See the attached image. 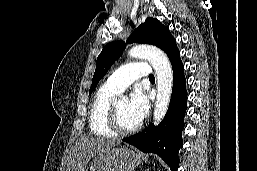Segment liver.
<instances>
[{
    "instance_id": "obj_1",
    "label": "liver",
    "mask_w": 257,
    "mask_h": 171,
    "mask_svg": "<svg viewBox=\"0 0 257 171\" xmlns=\"http://www.w3.org/2000/svg\"><path fill=\"white\" fill-rule=\"evenodd\" d=\"M120 143V140L115 139L83 137L72 149L66 171H87L86 166L91 158H95Z\"/></svg>"
}]
</instances>
